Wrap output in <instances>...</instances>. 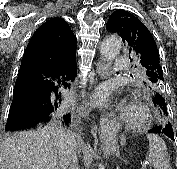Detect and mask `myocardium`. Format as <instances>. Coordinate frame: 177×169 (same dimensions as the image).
<instances>
[{
  "label": "myocardium",
  "mask_w": 177,
  "mask_h": 169,
  "mask_svg": "<svg viewBox=\"0 0 177 169\" xmlns=\"http://www.w3.org/2000/svg\"><path fill=\"white\" fill-rule=\"evenodd\" d=\"M149 118L148 110L138 102H132L122 111V121L131 128L142 127Z\"/></svg>",
  "instance_id": "myocardium-1"
}]
</instances>
